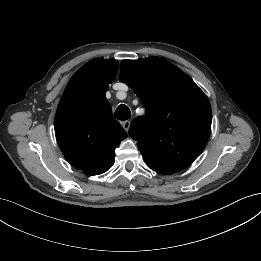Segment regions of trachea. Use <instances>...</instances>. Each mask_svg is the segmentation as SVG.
<instances>
[{
  "instance_id": "1",
  "label": "trachea",
  "mask_w": 261,
  "mask_h": 261,
  "mask_svg": "<svg viewBox=\"0 0 261 261\" xmlns=\"http://www.w3.org/2000/svg\"><path fill=\"white\" fill-rule=\"evenodd\" d=\"M114 117L118 120L124 121L131 117V112L126 105L120 104L114 113Z\"/></svg>"
}]
</instances>
